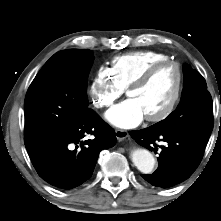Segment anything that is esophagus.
<instances>
[{"label": "esophagus", "mask_w": 221, "mask_h": 221, "mask_svg": "<svg viewBox=\"0 0 221 221\" xmlns=\"http://www.w3.org/2000/svg\"><path fill=\"white\" fill-rule=\"evenodd\" d=\"M115 136L117 140L122 141L128 137V132L126 130L118 129L115 131Z\"/></svg>", "instance_id": "34e87169"}]
</instances>
